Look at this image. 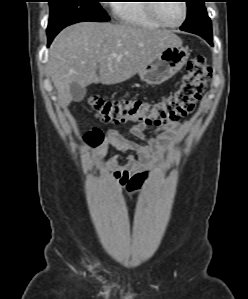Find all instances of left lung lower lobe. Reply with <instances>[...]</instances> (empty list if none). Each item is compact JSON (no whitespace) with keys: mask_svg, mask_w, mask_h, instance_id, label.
Instances as JSON below:
<instances>
[{"mask_svg":"<svg viewBox=\"0 0 248 299\" xmlns=\"http://www.w3.org/2000/svg\"><path fill=\"white\" fill-rule=\"evenodd\" d=\"M199 36L203 37L204 39H206L211 45L213 44V38H212V35L208 34L207 32L205 31H201V32H198Z\"/></svg>","mask_w":248,"mask_h":299,"instance_id":"obj_1","label":"left lung lower lobe"}]
</instances>
